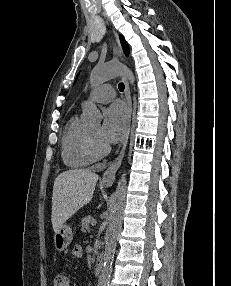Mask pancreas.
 Instances as JSON below:
<instances>
[{
    "instance_id": "pancreas-1",
    "label": "pancreas",
    "mask_w": 231,
    "mask_h": 286,
    "mask_svg": "<svg viewBox=\"0 0 231 286\" xmlns=\"http://www.w3.org/2000/svg\"><path fill=\"white\" fill-rule=\"evenodd\" d=\"M92 221V217L90 215L84 217L81 221V231L82 232H87L89 231L90 228V223Z\"/></svg>"
}]
</instances>
